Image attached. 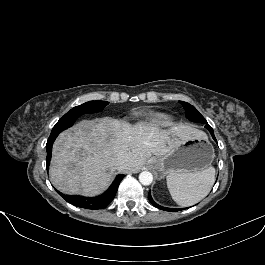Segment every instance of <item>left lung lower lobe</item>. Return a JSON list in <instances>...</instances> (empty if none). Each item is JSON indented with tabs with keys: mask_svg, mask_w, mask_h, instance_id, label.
Masks as SVG:
<instances>
[{
	"mask_svg": "<svg viewBox=\"0 0 265 265\" xmlns=\"http://www.w3.org/2000/svg\"><path fill=\"white\" fill-rule=\"evenodd\" d=\"M206 124V128L209 130V132L211 133L213 139L216 141V138H215V135H214V132H213V129L212 127L207 123V121L204 123ZM148 199L149 201L157 208L159 209H162V210H166V211H170V212H176V211H179V210H182V209H172V208H166V207H162L160 205H158L157 203H155L151 197V192L148 193Z\"/></svg>",
	"mask_w": 265,
	"mask_h": 265,
	"instance_id": "left-lung-lower-lobe-1",
	"label": "left lung lower lobe"
}]
</instances>
